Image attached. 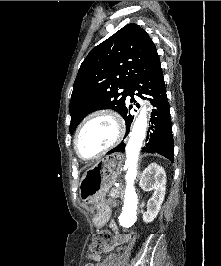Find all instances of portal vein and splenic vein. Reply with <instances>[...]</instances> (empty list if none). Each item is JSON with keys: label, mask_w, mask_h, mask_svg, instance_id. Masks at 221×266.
Listing matches in <instances>:
<instances>
[{"label": "portal vein and splenic vein", "mask_w": 221, "mask_h": 266, "mask_svg": "<svg viewBox=\"0 0 221 266\" xmlns=\"http://www.w3.org/2000/svg\"><path fill=\"white\" fill-rule=\"evenodd\" d=\"M116 187L118 188L119 187V184H116Z\"/></svg>", "instance_id": "portal-vein-and-splenic-vein-1"}]
</instances>
